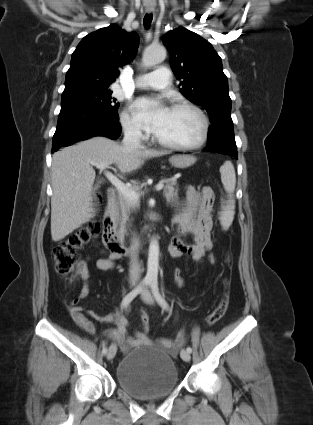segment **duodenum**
<instances>
[{
  "mask_svg": "<svg viewBox=\"0 0 313 425\" xmlns=\"http://www.w3.org/2000/svg\"><path fill=\"white\" fill-rule=\"evenodd\" d=\"M116 191L110 187L106 192V206L102 219V240L105 247L116 255H129L134 249L124 245L116 230Z\"/></svg>",
  "mask_w": 313,
  "mask_h": 425,
  "instance_id": "1",
  "label": "duodenum"
}]
</instances>
